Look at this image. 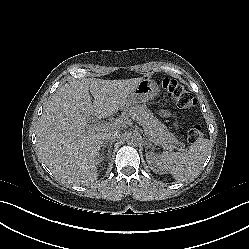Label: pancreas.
Masks as SVG:
<instances>
[{
  "instance_id": "cf45deb5",
  "label": "pancreas",
  "mask_w": 249,
  "mask_h": 249,
  "mask_svg": "<svg viewBox=\"0 0 249 249\" xmlns=\"http://www.w3.org/2000/svg\"><path fill=\"white\" fill-rule=\"evenodd\" d=\"M125 119L133 118L137 120L147 131L148 137L160 144L177 143L174 134L170 133L145 104L132 105L123 112Z\"/></svg>"
}]
</instances>
